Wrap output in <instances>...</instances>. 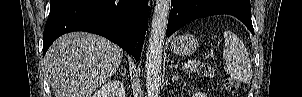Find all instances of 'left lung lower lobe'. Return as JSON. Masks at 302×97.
Returning a JSON list of instances; mask_svg holds the SVG:
<instances>
[{"label":"left lung lower lobe","mask_w":302,"mask_h":97,"mask_svg":"<svg viewBox=\"0 0 302 97\" xmlns=\"http://www.w3.org/2000/svg\"><path fill=\"white\" fill-rule=\"evenodd\" d=\"M217 14L235 16L254 35L250 0H171L166 36H170L194 19Z\"/></svg>","instance_id":"obj_1"}]
</instances>
